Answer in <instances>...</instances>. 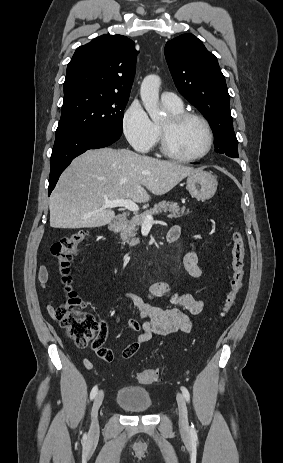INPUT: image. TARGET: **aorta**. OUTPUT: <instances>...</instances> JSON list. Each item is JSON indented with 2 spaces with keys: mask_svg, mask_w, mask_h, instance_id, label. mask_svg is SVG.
I'll use <instances>...</instances> for the list:
<instances>
[{
  "mask_svg": "<svg viewBox=\"0 0 283 463\" xmlns=\"http://www.w3.org/2000/svg\"><path fill=\"white\" fill-rule=\"evenodd\" d=\"M161 80L157 75H148L144 78L140 88L143 105L152 121L163 119V112L159 108V88Z\"/></svg>",
  "mask_w": 283,
  "mask_h": 463,
  "instance_id": "obj_1",
  "label": "aorta"
}]
</instances>
